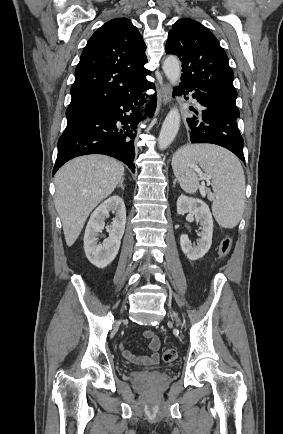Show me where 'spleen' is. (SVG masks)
I'll return each mask as SVG.
<instances>
[{
    "label": "spleen",
    "instance_id": "3e777b00",
    "mask_svg": "<svg viewBox=\"0 0 283 434\" xmlns=\"http://www.w3.org/2000/svg\"><path fill=\"white\" fill-rule=\"evenodd\" d=\"M199 164L212 179L215 193L212 204L213 215L224 228L237 226L244 211L245 176L240 161L224 148L210 144L187 145L178 150L172 159V168L181 188L195 193L199 179L192 170Z\"/></svg>",
    "mask_w": 283,
    "mask_h": 434
}]
</instances>
